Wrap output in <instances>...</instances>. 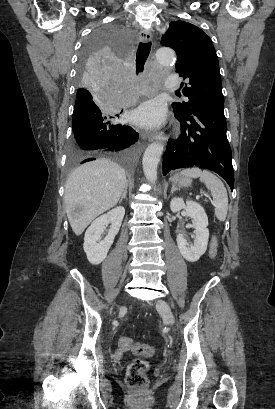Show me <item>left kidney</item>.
I'll use <instances>...</instances> for the list:
<instances>
[{
  "label": "left kidney",
  "instance_id": "1",
  "mask_svg": "<svg viewBox=\"0 0 275 409\" xmlns=\"http://www.w3.org/2000/svg\"><path fill=\"white\" fill-rule=\"evenodd\" d=\"M170 209L172 213H178L181 209H185L187 217L192 219V227L195 229L194 233L196 235L193 245H188L183 235H177V245L182 257L186 261H190V263H195L207 251L209 239L208 217L203 207L198 205V202H193V200H187L185 205L183 198H172Z\"/></svg>",
  "mask_w": 275,
  "mask_h": 409
}]
</instances>
